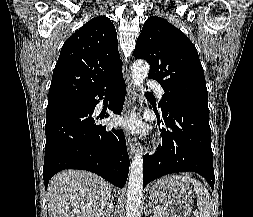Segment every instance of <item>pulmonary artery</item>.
Wrapping results in <instances>:
<instances>
[{
	"label": "pulmonary artery",
	"instance_id": "e3ab8cb5",
	"mask_svg": "<svg viewBox=\"0 0 253 217\" xmlns=\"http://www.w3.org/2000/svg\"><path fill=\"white\" fill-rule=\"evenodd\" d=\"M148 86L157 94L159 99H162L164 90L159 83L150 80Z\"/></svg>",
	"mask_w": 253,
	"mask_h": 217
}]
</instances>
